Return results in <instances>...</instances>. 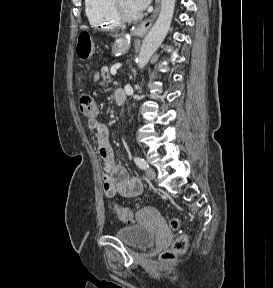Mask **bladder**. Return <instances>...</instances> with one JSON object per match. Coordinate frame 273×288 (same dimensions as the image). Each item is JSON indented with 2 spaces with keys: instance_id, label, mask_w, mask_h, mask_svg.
Segmentation results:
<instances>
[{
  "instance_id": "obj_1",
  "label": "bladder",
  "mask_w": 273,
  "mask_h": 288,
  "mask_svg": "<svg viewBox=\"0 0 273 288\" xmlns=\"http://www.w3.org/2000/svg\"><path fill=\"white\" fill-rule=\"evenodd\" d=\"M116 236L127 246L136 249H147L156 242L155 233L140 225L122 227Z\"/></svg>"
}]
</instances>
